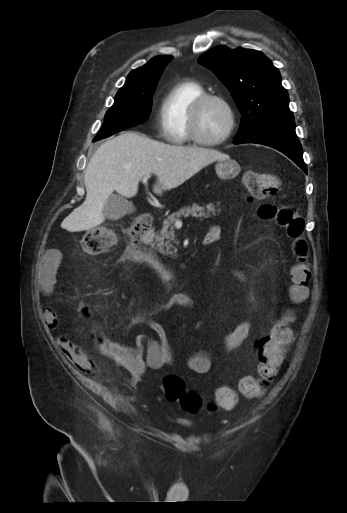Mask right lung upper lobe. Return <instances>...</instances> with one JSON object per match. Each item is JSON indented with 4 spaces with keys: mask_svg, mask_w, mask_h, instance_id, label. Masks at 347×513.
I'll return each mask as SVG.
<instances>
[{
    "mask_svg": "<svg viewBox=\"0 0 347 513\" xmlns=\"http://www.w3.org/2000/svg\"><path fill=\"white\" fill-rule=\"evenodd\" d=\"M171 56H159L153 58L143 67H139L128 75L121 89H137L148 84L158 82L165 66L172 60Z\"/></svg>",
    "mask_w": 347,
    "mask_h": 513,
    "instance_id": "cb5924a9",
    "label": "right lung upper lobe"
}]
</instances>
